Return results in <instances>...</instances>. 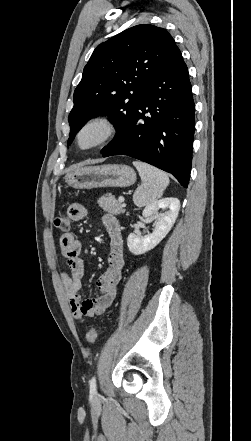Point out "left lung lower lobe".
Returning a JSON list of instances; mask_svg holds the SVG:
<instances>
[{
  "label": "left lung lower lobe",
  "mask_w": 251,
  "mask_h": 441,
  "mask_svg": "<svg viewBox=\"0 0 251 441\" xmlns=\"http://www.w3.org/2000/svg\"><path fill=\"white\" fill-rule=\"evenodd\" d=\"M128 123L101 150L127 155L171 173L187 188L192 164L195 104L188 68L178 47L146 87Z\"/></svg>",
  "instance_id": "0a47b994"
}]
</instances>
